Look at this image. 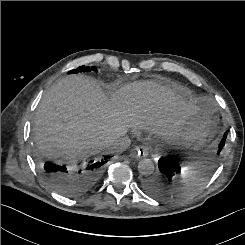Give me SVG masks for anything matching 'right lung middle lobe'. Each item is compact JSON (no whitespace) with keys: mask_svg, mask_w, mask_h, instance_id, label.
<instances>
[{"mask_svg":"<svg viewBox=\"0 0 245 245\" xmlns=\"http://www.w3.org/2000/svg\"><path fill=\"white\" fill-rule=\"evenodd\" d=\"M90 71H96L95 67H85V66H80L75 70H71L68 73L72 74V73H79V72H90ZM103 169V168H102Z\"/></svg>","mask_w":245,"mask_h":245,"instance_id":"1","label":"right lung middle lobe"}]
</instances>
